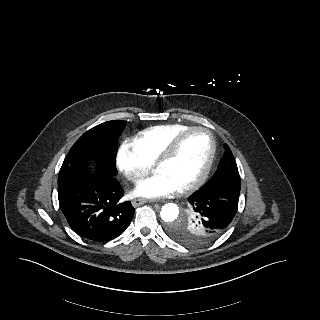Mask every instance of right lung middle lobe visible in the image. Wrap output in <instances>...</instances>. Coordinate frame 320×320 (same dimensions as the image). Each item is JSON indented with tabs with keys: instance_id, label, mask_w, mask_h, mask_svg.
I'll return each mask as SVG.
<instances>
[{
	"instance_id": "dd1d6c3e",
	"label": "right lung middle lobe",
	"mask_w": 320,
	"mask_h": 320,
	"mask_svg": "<svg viewBox=\"0 0 320 320\" xmlns=\"http://www.w3.org/2000/svg\"><path fill=\"white\" fill-rule=\"evenodd\" d=\"M125 124L123 120L107 121L85 132L64 159L58 185L87 175L91 160L97 163V172L114 176L117 173V139Z\"/></svg>"
}]
</instances>
